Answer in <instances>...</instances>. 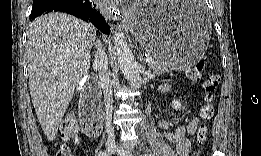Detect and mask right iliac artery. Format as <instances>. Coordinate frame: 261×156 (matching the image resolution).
Here are the masks:
<instances>
[{"instance_id": "right-iliac-artery-1", "label": "right iliac artery", "mask_w": 261, "mask_h": 156, "mask_svg": "<svg viewBox=\"0 0 261 156\" xmlns=\"http://www.w3.org/2000/svg\"><path fill=\"white\" fill-rule=\"evenodd\" d=\"M106 155H107V153L104 152V151H100V152H99V156H106Z\"/></svg>"}]
</instances>
